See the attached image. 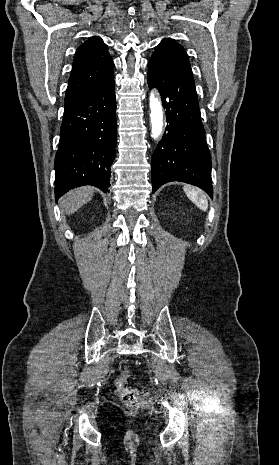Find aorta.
<instances>
[{
    "mask_svg": "<svg viewBox=\"0 0 279 465\" xmlns=\"http://www.w3.org/2000/svg\"><path fill=\"white\" fill-rule=\"evenodd\" d=\"M150 118H151V137L157 139L163 130V110L161 102L155 97L154 93L150 94Z\"/></svg>",
    "mask_w": 279,
    "mask_h": 465,
    "instance_id": "762f6f07",
    "label": "aorta"
}]
</instances>
